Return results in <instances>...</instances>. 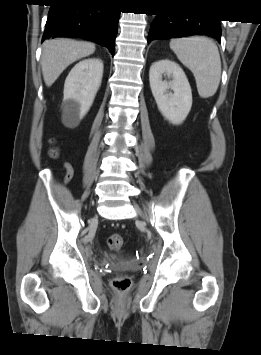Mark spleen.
Segmentation results:
<instances>
[{
	"mask_svg": "<svg viewBox=\"0 0 261 355\" xmlns=\"http://www.w3.org/2000/svg\"><path fill=\"white\" fill-rule=\"evenodd\" d=\"M170 48L195 77L201 98L212 97L221 79V59L217 45L207 37L172 39Z\"/></svg>",
	"mask_w": 261,
	"mask_h": 355,
	"instance_id": "1",
	"label": "spleen"
}]
</instances>
